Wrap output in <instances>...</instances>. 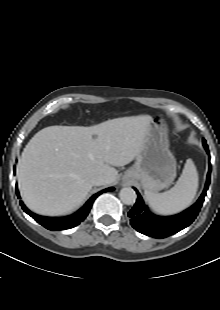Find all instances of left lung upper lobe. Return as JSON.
Returning a JSON list of instances; mask_svg holds the SVG:
<instances>
[{"label":"left lung upper lobe","instance_id":"left-lung-upper-lobe-1","mask_svg":"<svg viewBox=\"0 0 220 310\" xmlns=\"http://www.w3.org/2000/svg\"><path fill=\"white\" fill-rule=\"evenodd\" d=\"M203 145H204V146L207 145V144H206V141H205L204 139H203Z\"/></svg>","mask_w":220,"mask_h":310}]
</instances>
